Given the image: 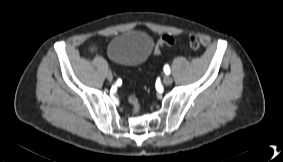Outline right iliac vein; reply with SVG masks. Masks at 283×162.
I'll return each instance as SVG.
<instances>
[{
	"mask_svg": "<svg viewBox=\"0 0 283 162\" xmlns=\"http://www.w3.org/2000/svg\"><path fill=\"white\" fill-rule=\"evenodd\" d=\"M106 77H107V79H108L109 81H112L113 75H112L111 71H107Z\"/></svg>",
	"mask_w": 283,
	"mask_h": 162,
	"instance_id": "63e3f726",
	"label": "right iliac vein"
}]
</instances>
